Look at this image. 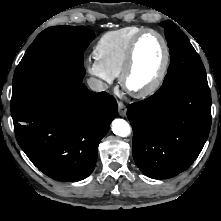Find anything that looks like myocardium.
Returning a JSON list of instances; mask_svg holds the SVG:
<instances>
[{
    "label": "myocardium",
    "instance_id": "obj_1",
    "mask_svg": "<svg viewBox=\"0 0 221 221\" xmlns=\"http://www.w3.org/2000/svg\"><path fill=\"white\" fill-rule=\"evenodd\" d=\"M147 34H154L161 41L163 50H164L163 62H162V65H161V68L159 70L157 77L154 79V81L150 85H148L147 87L143 89L133 90L128 86V78L134 65L135 52H136L137 45L139 41ZM169 64H170V49H169L167 40L159 31L155 29H151V28H145L142 31H140L132 39V41L130 42L128 46L126 56H125V61H124L121 73L119 75L120 84L124 90H126L128 93H130L131 95L137 98L148 97L154 94L163 84L168 68H169Z\"/></svg>",
    "mask_w": 221,
    "mask_h": 221
}]
</instances>
